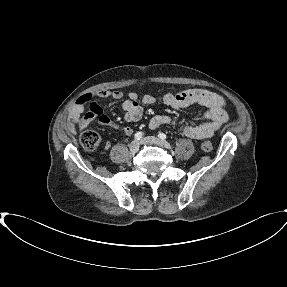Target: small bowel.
Wrapping results in <instances>:
<instances>
[{"instance_id": "c3829d8e", "label": "small bowel", "mask_w": 287, "mask_h": 287, "mask_svg": "<svg viewBox=\"0 0 287 287\" xmlns=\"http://www.w3.org/2000/svg\"><path fill=\"white\" fill-rule=\"evenodd\" d=\"M112 98L114 100H123L124 93L121 91L102 90L96 94H84L80 96L70 114L68 120V129L70 132L84 130L91 122L97 120L102 126H108L119 130L123 134L130 136L133 129L129 126H119L115 124L107 115L104 114L102 107L95 101V98ZM139 95L135 91H130L127 98L122 101V109L124 111V119L128 122H136L142 117V107L138 103ZM158 100L151 94L142 96L143 104H153ZM161 102L174 109L185 108L193 104H200L206 108L203 121L200 125H184L182 133L191 139L202 140L211 137L218 131L228 120L227 113L224 110L225 102L223 98L215 93L204 90L192 89L179 92L177 94L166 93L159 98ZM89 105V111L82 115L85 105ZM170 118L167 116H153L149 122L151 129H157L164 124H169ZM110 144H106L109 148Z\"/></svg>"}]
</instances>
